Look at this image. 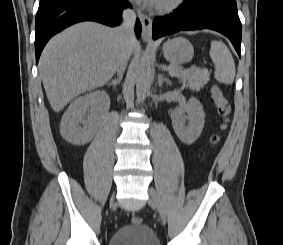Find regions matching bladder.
<instances>
[{"label":"bladder","instance_id":"bladder-1","mask_svg":"<svg viewBox=\"0 0 283 245\" xmlns=\"http://www.w3.org/2000/svg\"><path fill=\"white\" fill-rule=\"evenodd\" d=\"M108 245H161L152 228L144 224L125 225L109 238Z\"/></svg>","mask_w":283,"mask_h":245}]
</instances>
